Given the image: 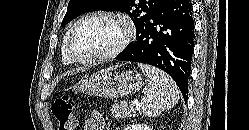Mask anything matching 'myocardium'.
<instances>
[{"label":"myocardium","mask_w":249,"mask_h":130,"mask_svg":"<svg viewBox=\"0 0 249 130\" xmlns=\"http://www.w3.org/2000/svg\"><path fill=\"white\" fill-rule=\"evenodd\" d=\"M96 17H105L120 21L125 29L123 38L112 50L108 52L85 58L75 56L71 51V42L77 28L84 21ZM135 34H136L135 26L132 20L126 14L117 11H108V10L92 11L80 17L69 30L65 41V54L70 61L81 64L96 63V62L109 60L115 58L120 53H122L126 49V47L130 44V42L134 39Z\"/></svg>","instance_id":"obj_1"}]
</instances>
